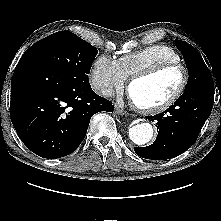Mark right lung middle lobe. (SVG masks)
Instances as JSON below:
<instances>
[{
	"instance_id": "obj_1",
	"label": "right lung middle lobe",
	"mask_w": 221,
	"mask_h": 221,
	"mask_svg": "<svg viewBox=\"0 0 221 221\" xmlns=\"http://www.w3.org/2000/svg\"><path fill=\"white\" fill-rule=\"evenodd\" d=\"M98 50L77 35L61 31L33 44L22 56L50 65L68 76L88 82Z\"/></svg>"
}]
</instances>
